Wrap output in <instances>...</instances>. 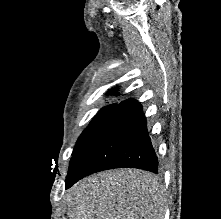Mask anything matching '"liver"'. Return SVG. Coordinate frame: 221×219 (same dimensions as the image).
Wrapping results in <instances>:
<instances>
[{
    "mask_svg": "<svg viewBox=\"0 0 221 219\" xmlns=\"http://www.w3.org/2000/svg\"><path fill=\"white\" fill-rule=\"evenodd\" d=\"M69 219H164V187L139 169L91 175L70 188Z\"/></svg>",
    "mask_w": 221,
    "mask_h": 219,
    "instance_id": "liver-1",
    "label": "liver"
}]
</instances>
